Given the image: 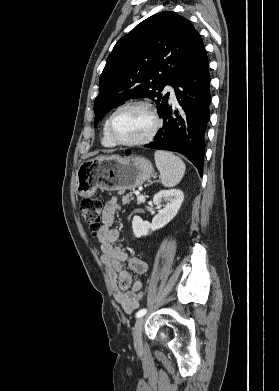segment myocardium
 <instances>
[{"instance_id": "1", "label": "myocardium", "mask_w": 279, "mask_h": 391, "mask_svg": "<svg viewBox=\"0 0 279 391\" xmlns=\"http://www.w3.org/2000/svg\"><path fill=\"white\" fill-rule=\"evenodd\" d=\"M130 107L141 108V109L147 111L149 113L150 117L152 118L153 125H152L151 130L147 133V135H145L141 139L134 140V141H120L112 133L113 120H114L115 115L118 112H120L121 110H123L125 108H130ZM161 125H162L161 119L159 118L156 110L154 109V107L150 103H148L146 101H129V102H126V103L120 105L119 107H117L110 114L109 118L107 119L106 131H107L108 138L110 139V141L114 145L124 146V147H134V146L144 145V144H147L150 141H152L153 138L158 133Z\"/></svg>"}]
</instances>
